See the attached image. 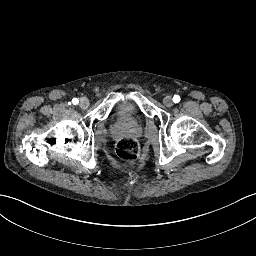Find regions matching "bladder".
Here are the masks:
<instances>
[{
  "label": "bladder",
  "mask_w": 256,
  "mask_h": 256,
  "mask_svg": "<svg viewBox=\"0 0 256 256\" xmlns=\"http://www.w3.org/2000/svg\"><path fill=\"white\" fill-rule=\"evenodd\" d=\"M132 107V104L129 103V102H126V103H122L120 104L117 109L119 111H127V110H130V108Z\"/></svg>",
  "instance_id": "1"
}]
</instances>
